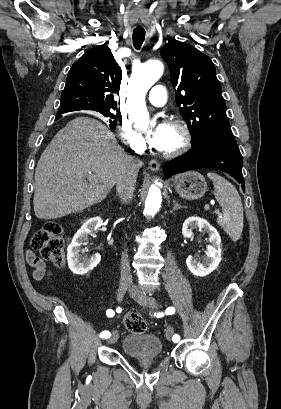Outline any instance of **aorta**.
Listing matches in <instances>:
<instances>
[{
  "instance_id": "obj_1",
  "label": "aorta",
  "mask_w": 281,
  "mask_h": 409,
  "mask_svg": "<svg viewBox=\"0 0 281 409\" xmlns=\"http://www.w3.org/2000/svg\"><path fill=\"white\" fill-rule=\"evenodd\" d=\"M163 71L164 66L158 60L148 61L133 71L129 102L134 123L140 129H146L150 123L149 113L145 105V95L162 76ZM161 202L160 189L156 185H152L146 198L144 214L155 215L161 207Z\"/></svg>"
}]
</instances>
